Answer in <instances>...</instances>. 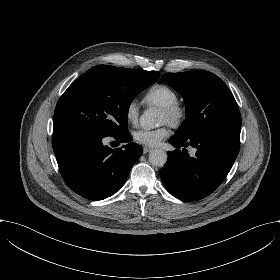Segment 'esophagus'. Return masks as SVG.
Masks as SVG:
<instances>
[{"label": "esophagus", "instance_id": "34e87169", "mask_svg": "<svg viewBox=\"0 0 280 280\" xmlns=\"http://www.w3.org/2000/svg\"><path fill=\"white\" fill-rule=\"evenodd\" d=\"M152 150V148H150V147H143V153L144 154H147V153H149L150 151Z\"/></svg>", "mask_w": 280, "mask_h": 280}]
</instances>
